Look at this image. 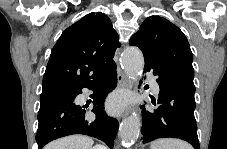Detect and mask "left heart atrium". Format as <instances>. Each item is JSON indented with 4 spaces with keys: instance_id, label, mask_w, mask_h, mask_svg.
Instances as JSON below:
<instances>
[{
    "instance_id": "obj_1",
    "label": "left heart atrium",
    "mask_w": 227,
    "mask_h": 149,
    "mask_svg": "<svg viewBox=\"0 0 227 149\" xmlns=\"http://www.w3.org/2000/svg\"><path fill=\"white\" fill-rule=\"evenodd\" d=\"M120 105H121V101L118 98H113L110 101V107L112 110L118 109Z\"/></svg>"
}]
</instances>
